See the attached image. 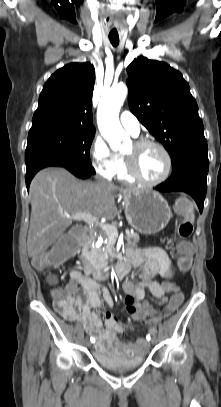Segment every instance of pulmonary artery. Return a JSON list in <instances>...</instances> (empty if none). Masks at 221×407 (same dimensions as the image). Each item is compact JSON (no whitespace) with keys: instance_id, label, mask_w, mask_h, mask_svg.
Masks as SVG:
<instances>
[{"instance_id":"e3ab8cb5","label":"pulmonary artery","mask_w":221,"mask_h":407,"mask_svg":"<svg viewBox=\"0 0 221 407\" xmlns=\"http://www.w3.org/2000/svg\"><path fill=\"white\" fill-rule=\"evenodd\" d=\"M120 123L133 136L139 135L140 123L131 112L129 111L122 112V114L120 115Z\"/></svg>"}]
</instances>
